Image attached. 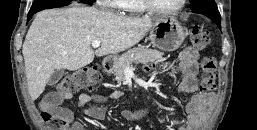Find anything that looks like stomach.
Returning a JSON list of instances; mask_svg holds the SVG:
<instances>
[{"mask_svg":"<svg viewBox=\"0 0 257 130\" xmlns=\"http://www.w3.org/2000/svg\"><path fill=\"white\" fill-rule=\"evenodd\" d=\"M149 37L155 47L166 52H172L183 43L185 32L177 19L166 17L154 24Z\"/></svg>","mask_w":257,"mask_h":130,"instance_id":"stomach-1","label":"stomach"}]
</instances>
